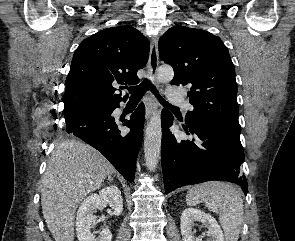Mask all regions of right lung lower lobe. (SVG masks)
I'll list each match as a JSON object with an SVG mask.
<instances>
[{"label": "right lung lower lobe", "mask_w": 295, "mask_h": 241, "mask_svg": "<svg viewBox=\"0 0 295 241\" xmlns=\"http://www.w3.org/2000/svg\"><path fill=\"white\" fill-rule=\"evenodd\" d=\"M119 103L84 111L66 120V132L99 150L126 180L132 182L143 136L145 108L141 103L130 120H118L112 112ZM120 123L131 131L124 134L118 129Z\"/></svg>", "instance_id": "right-lung-lower-lobe-1"}]
</instances>
